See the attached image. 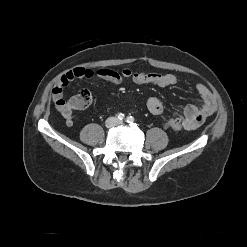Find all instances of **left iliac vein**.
Listing matches in <instances>:
<instances>
[{
	"label": "left iliac vein",
	"instance_id": "4c4485c4",
	"mask_svg": "<svg viewBox=\"0 0 247 247\" xmlns=\"http://www.w3.org/2000/svg\"><path fill=\"white\" fill-rule=\"evenodd\" d=\"M116 124L120 125V124H123V122L122 121H117Z\"/></svg>",
	"mask_w": 247,
	"mask_h": 247
}]
</instances>
